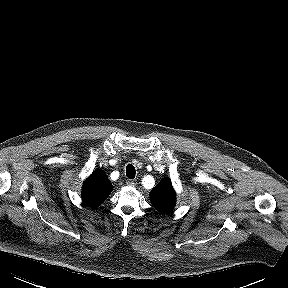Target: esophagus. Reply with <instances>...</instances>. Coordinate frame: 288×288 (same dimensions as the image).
I'll return each mask as SVG.
<instances>
[{
    "label": "esophagus",
    "mask_w": 288,
    "mask_h": 288,
    "mask_svg": "<svg viewBox=\"0 0 288 288\" xmlns=\"http://www.w3.org/2000/svg\"><path fill=\"white\" fill-rule=\"evenodd\" d=\"M126 184L128 186H135L137 184V182H136V180L128 179V180H126Z\"/></svg>",
    "instance_id": "34e87169"
}]
</instances>
